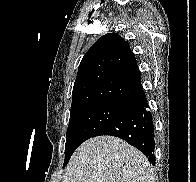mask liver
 Here are the masks:
<instances>
[{"instance_id":"6515ba94","label":"liver","mask_w":196,"mask_h":182,"mask_svg":"<svg viewBox=\"0 0 196 182\" xmlns=\"http://www.w3.org/2000/svg\"><path fill=\"white\" fill-rule=\"evenodd\" d=\"M63 182H154V175L138 149L122 139L99 136L74 152Z\"/></svg>"}]
</instances>
